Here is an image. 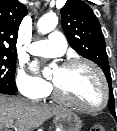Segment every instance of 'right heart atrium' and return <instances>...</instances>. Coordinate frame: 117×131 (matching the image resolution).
Masks as SVG:
<instances>
[{
	"instance_id": "d8ad5b80",
	"label": "right heart atrium",
	"mask_w": 117,
	"mask_h": 131,
	"mask_svg": "<svg viewBox=\"0 0 117 131\" xmlns=\"http://www.w3.org/2000/svg\"><path fill=\"white\" fill-rule=\"evenodd\" d=\"M16 84L19 91L27 98L40 100L46 97L51 85L41 78L28 74L25 70H19L16 77Z\"/></svg>"
}]
</instances>
